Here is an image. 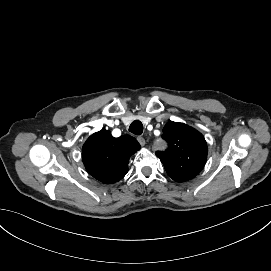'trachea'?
I'll return each mask as SVG.
<instances>
[{"mask_svg": "<svg viewBox=\"0 0 271 271\" xmlns=\"http://www.w3.org/2000/svg\"><path fill=\"white\" fill-rule=\"evenodd\" d=\"M129 131L135 135L143 133V124L139 120H135L130 124Z\"/></svg>", "mask_w": 271, "mask_h": 271, "instance_id": "obj_1", "label": "trachea"}]
</instances>
